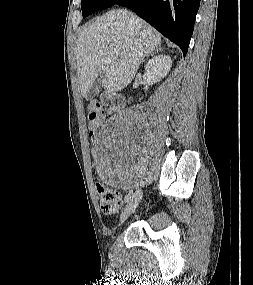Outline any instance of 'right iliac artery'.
<instances>
[{"label":"right iliac artery","instance_id":"82829eb1","mask_svg":"<svg viewBox=\"0 0 253 285\" xmlns=\"http://www.w3.org/2000/svg\"><path fill=\"white\" fill-rule=\"evenodd\" d=\"M131 197H132L131 193L127 194L125 197V201L128 202L131 199Z\"/></svg>","mask_w":253,"mask_h":285}]
</instances>
